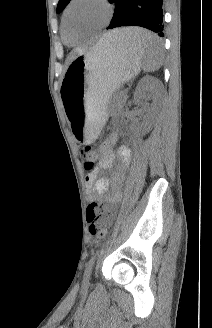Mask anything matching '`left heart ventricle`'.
<instances>
[{
  "instance_id": "left-heart-ventricle-1",
  "label": "left heart ventricle",
  "mask_w": 212,
  "mask_h": 328,
  "mask_svg": "<svg viewBox=\"0 0 212 328\" xmlns=\"http://www.w3.org/2000/svg\"><path fill=\"white\" fill-rule=\"evenodd\" d=\"M107 17L105 7L97 0H80L68 14L69 32L84 33L101 25Z\"/></svg>"
}]
</instances>
